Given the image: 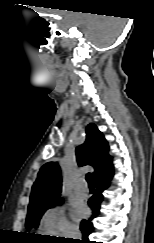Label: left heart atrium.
Returning a JSON list of instances; mask_svg holds the SVG:
<instances>
[{"label":"left heart atrium","mask_w":154,"mask_h":243,"mask_svg":"<svg viewBox=\"0 0 154 243\" xmlns=\"http://www.w3.org/2000/svg\"><path fill=\"white\" fill-rule=\"evenodd\" d=\"M87 213V210L84 206H79L74 211V216L76 218L84 217Z\"/></svg>","instance_id":"obj_1"}]
</instances>
